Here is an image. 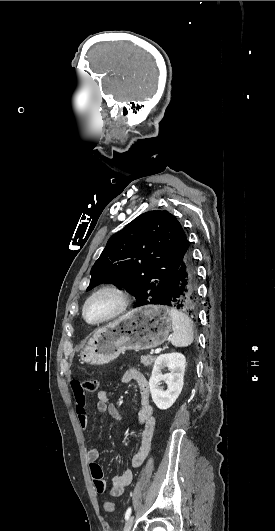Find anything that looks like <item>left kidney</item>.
Segmentation results:
<instances>
[{"label": "left kidney", "instance_id": "obj_1", "mask_svg": "<svg viewBox=\"0 0 275 531\" xmlns=\"http://www.w3.org/2000/svg\"><path fill=\"white\" fill-rule=\"evenodd\" d=\"M168 367L171 373L162 375L161 369ZM186 359L181 353H167L157 357L149 379L151 397L158 409H170L183 389ZM160 381H165L168 389L163 391Z\"/></svg>", "mask_w": 275, "mask_h": 531}]
</instances>
